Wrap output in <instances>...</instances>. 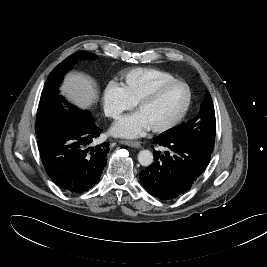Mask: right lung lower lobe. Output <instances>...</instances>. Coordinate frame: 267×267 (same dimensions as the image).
Instances as JSON below:
<instances>
[{"mask_svg": "<svg viewBox=\"0 0 267 267\" xmlns=\"http://www.w3.org/2000/svg\"><path fill=\"white\" fill-rule=\"evenodd\" d=\"M100 134L92 118L81 123L63 120L39 139L45 170L61 189L77 194L98 183L110 150L108 142L97 144Z\"/></svg>", "mask_w": 267, "mask_h": 267, "instance_id": "obj_1", "label": "right lung lower lobe"}]
</instances>
